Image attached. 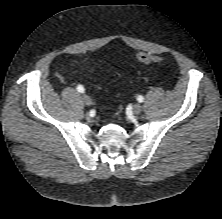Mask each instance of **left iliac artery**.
Returning <instances> with one entry per match:
<instances>
[{"mask_svg":"<svg viewBox=\"0 0 222 219\" xmlns=\"http://www.w3.org/2000/svg\"><path fill=\"white\" fill-rule=\"evenodd\" d=\"M137 100H138L139 102H143L144 97L140 95V96H138Z\"/></svg>","mask_w":222,"mask_h":219,"instance_id":"44dca946","label":"left iliac artery"}]
</instances>
